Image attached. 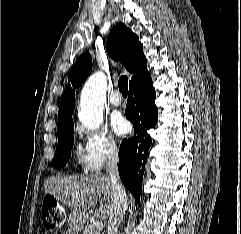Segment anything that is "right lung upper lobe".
<instances>
[{"instance_id": "cb5924a9", "label": "right lung upper lobe", "mask_w": 241, "mask_h": 234, "mask_svg": "<svg viewBox=\"0 0 241 234\" xmlns=\"http://www.w3.org/2000/svg\"><path fill=\"white\" fill-rule=\"evenodd\" d=\"M108 55L114 60H119L126 69L133 73L130 84L140 80L146 74L147 61L143 54V45L139 38L123 23H118L111 30L106 44ZM92 70L90 54H82L72 67L68 83L61 98L58 112L57 131L74 126L72 116L75 101V91L72 87L80 86Z\"/></svg>"}]
</instances>
